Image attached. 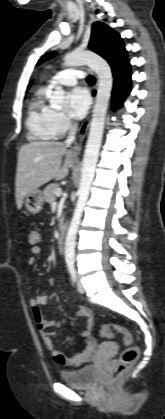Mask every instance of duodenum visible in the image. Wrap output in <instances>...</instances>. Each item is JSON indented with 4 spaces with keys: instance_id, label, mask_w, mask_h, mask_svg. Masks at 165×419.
I'll use <instances>...</instances> for the list:
<instances>
[{
    "instance_id": "410a0bca",
    "label": "duodenum",
    "mask_w": 165,
    "mask_h": 419,
    "mask_svg": "<svg viewBox=\"0 0 165 419\" xmlns=\"http://www.w3.org/2000/svg\"><path fill=\"white\" fill-rule=\"evenodd\" d=\"M65 241H66V232L63 230L60 232L59 237L57 239V248L60 252H63L64 250Z\"/></svg>"
}]
</instances>
